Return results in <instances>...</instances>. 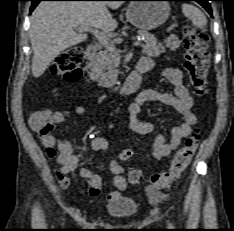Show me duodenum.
<instances>
[{"label":"duodenum","mask_w":234,"mask_h":231,"mask_svg":"<svg viewBox=\"0 0 234 231\" xmlns=\"http://www.w3.org/2000/svg\"><path fill=\"white\" fill-rule=\"evenodd\" d=\"M96 51V46L94 44H91L87 47L85 55L88 58L93 57ZM150 69V65L138 63L136 70L127 78L125 83L119 89L118 94L121 96H127L134 93L141 83L143 74Z\"/></svg>","instance_id":"410a0bca"}]
</instances>
